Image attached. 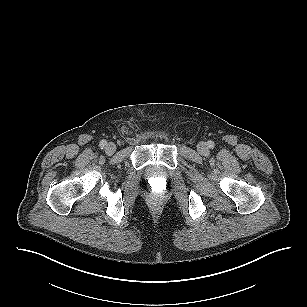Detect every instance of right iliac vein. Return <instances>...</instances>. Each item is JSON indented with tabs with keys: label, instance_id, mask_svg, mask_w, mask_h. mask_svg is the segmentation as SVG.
Segmentation results:
<instances>
[{
	"label": "right iliac vein",
	"instance_id": "right-iliac-vein-1",
	"mask_svg": "<svg viewBox=\"0 0 307 307\" xmlns=\"http://www.w3.org/2000/svg\"><path fill=\"white\" fill-rule=\"evenodd\" d=\"M116 151V145L113 142L107 143L105 146V152L108 155H112Z\"/></svg>",
	"mask_w": 307,
	"mask_h": 307
}]
</instances>
